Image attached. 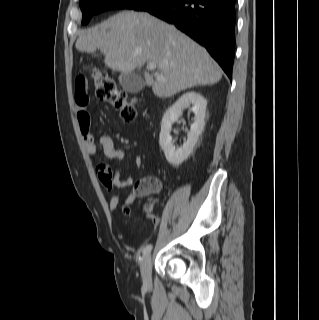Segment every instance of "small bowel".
<instances>
[{"instance_id": "c3829d8e", "label": "small bowel", "mask_w": 319, "mask_h": 320, "mask_svg": "<svg viewBox=\"0 0 319 320\" xmlns=\"http://www.w3.org/2000/svg\"><path fill=\"white\" fill-rule=\"evenodd\" d=\"M88 103L89 96L86 85L82 84L80 86H77L75 91L76 121L82 133L85 150L89 156L95 157L98 151V146H100L102 148L104 156L107 159L114 160L117 163L114 170H111L110 167L103 164V166H107L109 174L105 177L104 180L100 179V173H98V177L104 188L108 192H114L118 189L129 188L133 185L132 177H122L121 162L125 158L124 150L115 147L113 138L110 135L103 134L99 136L98 142L96 143L93 136L89 133V128L92 123V117L88 109ZM134 164L137 168L142 167V157L139 155L135 156ZM136 198V192H131L123 197L113 195L109 201V205L111 208H116L119 205L129 207L136 200Z\"/></svg>"}]
</instances>
